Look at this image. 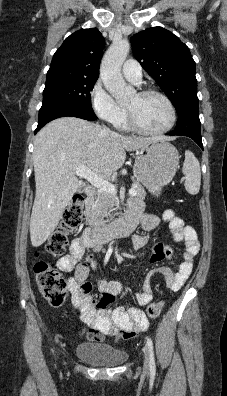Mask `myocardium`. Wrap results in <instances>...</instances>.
Wrapping results in <instances>:
<instances>
[{"label": "myocardium", "mask_w": 227, "mask_h": 396, "mask_svg": "<svg viewBox=\"0 0 227 396\" xmlns=\"http://www.w3.org/2000/svg\"><path fill=\"white\" fill-rule=\"evenodd\" d=\"M138 95H140V96L156 95V96L160 97L161 99H163V101L166 103V105L169 109L170 119H169L168 124L165 127L161 128L159 130H148V129L143 128L136 120L133 112L129 108H126L127 120H128V124H129L130 128L132 130L136 131L137 133H140L143 135H149V136H159V135H163V134L169 132L174 127L176 119H177L176 108H175L173 102L171 101V99L165 93L155 90V89L142 90V91L138 92Z\"/></svg>", "instance_id": "1"}]
</instances>
